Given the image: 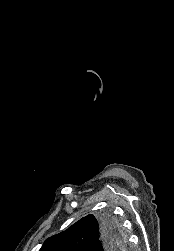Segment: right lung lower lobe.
Segmentation results:
<instances>
[{
  "label": "right lung lower lobe",
  "instance_id": "1",
  "mask_svg": "<svg viewBox=\"0 0 174 251\" xmlns=\"http://www.w3.org/2000/svg\"><path fill=\"white\" fill-rule=\"evenodd\" d=\"M101 238L98 245L93 249V251H118L112 248L115 241H119L122 237L120 235L119 229L115 223L107 220H101ZM122 249V248H121ZM120 250V249H119Z\"/></svg>",
  "mask_w": 174,
  "mask_h": 251
}]
</instances>
